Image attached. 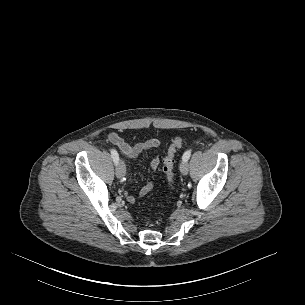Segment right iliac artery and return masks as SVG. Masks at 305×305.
I'll use <instances>...</instances> for the list:
<instances>
[{"instance_id": "right-iliac-artery-1", "label": "right iliac artery", "mask_w": 305, "mask_h": 305, "mask_svg": "<svg viewBox=\"0 0 305 305\" xmlns=\"http://www.w3.org/2000/svg\"><path fill=\"white\" fill-rule=\"evenodd\" d=\"M110 152H111V156L113 158L114 163L117 164L119 161V155H118L117 151L115 149H111Z\"/></svg>"}]
</instances>
